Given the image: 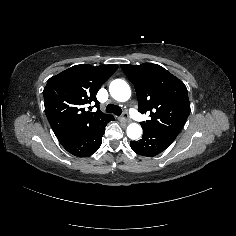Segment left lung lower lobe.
<instances>
[{
  "label": "left lung lower lobe",
  "mask_w": 236,
  "mask_h": 236,
  "mask_svg": "<svg viewBox=\"0 0 236 236\" xmlns=\"http://www.w3.org/2000/svg\"><path fill=\"white\" fill-rule=\"evenodd\" d=\"M177 135L143 127L142 139L131 141L130 146L139 155L155 156L164 151L175 140Z\"/></svg>",
  "instance_id": "left-lung-lower-lobe-1"
}]
</instances>
